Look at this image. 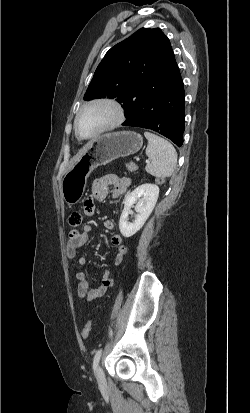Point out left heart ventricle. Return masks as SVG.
Wrapping results in <instances>:
<instances>
[{
  "instance_id": "1",
  "label": "left heart ventricle",
  "mask_w": 250,
  "mask_h": 413,
  "mask_svg": "<svg viewBox=\"0 0 250 413\" xmlns=\"http://www.w3.org/2000/svg\"><path fill=\"white\" fill-rule=\"evenodd\" d=\"M114 111L104 105L92 106L81 114L78 120V129L83 136L91 135L110 122Z\"/></svg>"
}]
</instances>
